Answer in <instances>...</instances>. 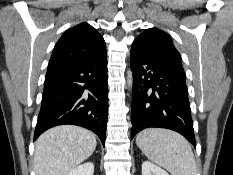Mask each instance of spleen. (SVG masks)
Here are the masks:
<instances>
[{
  "instance_id": "3e777b00",
  "label": "spleen",
  "mask_w": 233,
  "mask_h": 175,
  "mask_svg": "<svg viewBox=\"0 0 233 175\" xmlns=\"http://www.w3.org/2000/svg\"><path fill=\"white\" fill-rule=\"evenodd\" d=\"M136 144L152 162L171 175H196V161L188 141L180 134L160 128L141 131Z\"/></svg>"
}]
</instances>
